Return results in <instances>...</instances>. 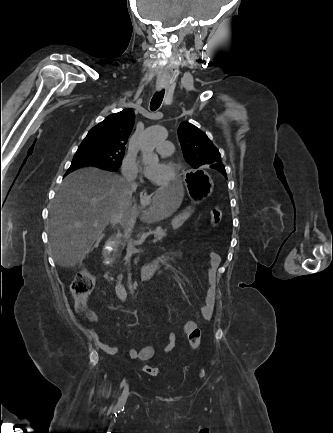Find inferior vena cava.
I'll return each mask as SVG.
<instances>
[{"label":"inferior vena cava","mask_w":333,"mask_h":433,"mask_svg":"<svg viewBox=\"0 0 333 433\" xmlns=\"http://www.w3.org/2000/svg\"><path fill=\"white\" fill-rule=\"evenodd\" d=\"M126 180H127V182L129 183L131 189H136V188H137V183L135 182V178H134V176H126ZM120 221H121V217H120L119 214H116V215H114V216L111 218V223H112L113 225H115V224H117V223H120Z\"/></svg>","instance_id":"1"}]
</instances>
